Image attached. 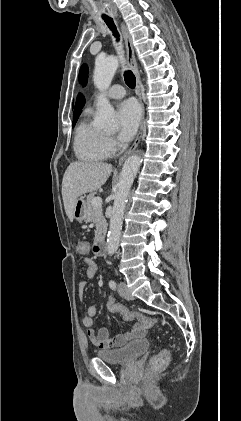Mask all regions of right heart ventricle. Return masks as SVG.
Instances as JSON below:
<instances>
[{"label":"right heart ventricle","mask_w":241,"mask_h":421,"mask_svg":"<svg viewBox=\"0 0 241 421\" xmlns=\"http://www.w3.org/2000/svg\"><path fill=\"white\" fill-rule=\"evenodd\" d=\"M73 147L77 158L82 161H103L111 154L105 134L95 128L86 116L76 128Z\"/></svg>","instance_id":"obj_1"}]
</instances>
